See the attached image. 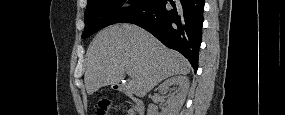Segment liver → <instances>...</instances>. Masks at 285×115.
Returning <instances> with one entry per match:
<instances>
[{"label":"liver","mask_w":285,"mask_h":115,"mask_svg":"<svg viewBox=\"0 0 285 115\" xmlns=\"http://www.w3.org/2000/svg\"><path fill=\"white\" fill-rule=\"evenodd\" d=\"M190 68L185 57L138 26L113 25L100 31L92 41L84 82L91 95L101 87L120 83L129 69V88L144 97L162 80L186 75Z\"/></svg>","instance_id":"liver-1"}]
</instances>
